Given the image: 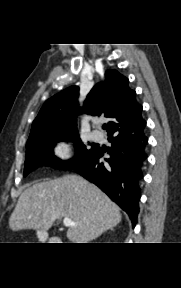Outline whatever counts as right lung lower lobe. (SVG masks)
<instances>
[{
    "mask_svg": "<svg viewBox=\"0 0 181 288\" xmlns=\"http://www.w3.org/2000/svg\"><path fill=\"white\" fill-rule=\"evenodd\" d=\"M143 128L109 135L112 146L106 163L99 161L104 152L96 148L86 160L73 168L117 203L129 215L133 226L139 213L141 168L147 158L145 146L148 139Z\"/></svg>",
    "mask_w": 181,
    "mask_h": 288,
    "instance_id": "obj_1",
    "label": "right lung lower lobe"
}]
</instances>
